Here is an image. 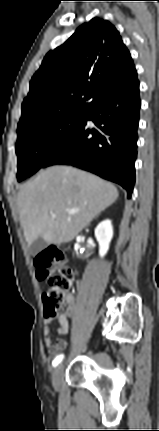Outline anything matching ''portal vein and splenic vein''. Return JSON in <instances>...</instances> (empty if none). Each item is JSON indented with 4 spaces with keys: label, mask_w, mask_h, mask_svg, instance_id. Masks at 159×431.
Masks as SVG:
<instances>
[{
    "label": "portal vein and splenic vein",
    "mask_w": 159,
    "mask_h": 431,
    "mask_svg": "<svg viewBox=\"0 0 159 431\" xmlns=\"http://www.w3.org/2000/svg\"><path fill=\"white\" fill-rule=\"evenodd\" d=\"M67 212L69 214H75V213L79 212V210H77V209H69V210H67ZM50 215H51V218H53V219L56 218V214L54 212H51Z\"/></svg>",
    "instance_id": "obj_1"
}]
</instances>
